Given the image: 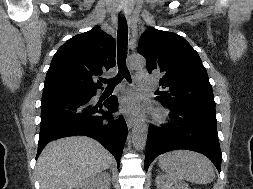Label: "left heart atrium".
<instances>
[{"mask_svg": "<svg viewBox=\"0 0 253 189\" xmlns=\"http://www.w3.org/2000/svg\"><path fill=\"white\" fill-rule=\"evenodd\" d=\"M121 109L127 114L134 115L139 111V104L133 97H127L123 99Z\"/></svg>", "mask_w": 253, "mask_h": 189, "instance_id": "39dd6f15", "label": "left heart atrium"}]
</instances>
